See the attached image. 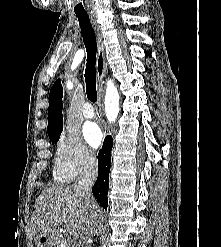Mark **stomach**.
Wrapping results in <instances>:
<instances>
[{
  "label": "stomach",
  "mask_w": 221,
  "mask_h": 247,
  "mask_svg": "<svg viewBox=\"0 0 221 247\" xmlns=\"http://www.w3.org/2000/svg\"><path fill=\"white\" fill-rule=\"evenodd\" d=\"M55 234L52 231L40 232L35 237L37 247H52Z\"/></svg>",
  "instance_id": "stomach-1"
}]
</instances>
